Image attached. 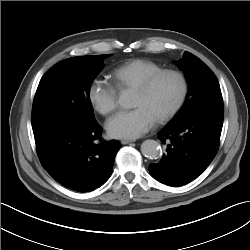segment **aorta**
<instances>
[{
  "instance_id": "obj_1",
  "label": "aorta",
  "mask_w": 250,
  "mask_h": 250,
  "mask_svg": "<svg viewBox=\"0 0 250 250\" xmlns=\"http://www.w3.org/2000/svg\"><path fill=\"white\" fill-rule=\"evenodd\" d=\"M119 104L124 108H130L132 105L130 95L128 93H122L119 97ZM141 152L145 157L150 159H158L162 154L160 144L151 139L145 140L141 144Z\"/></svg>"
}]
</instances>
